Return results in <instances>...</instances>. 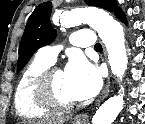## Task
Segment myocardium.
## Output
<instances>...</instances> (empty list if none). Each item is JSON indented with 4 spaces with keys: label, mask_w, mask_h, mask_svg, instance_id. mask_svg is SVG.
I'll list each match as a JSON object with an SVG mask.
<instances>
[{
    "label": "myocardium",
    "mask_w": 145,
    "mask_h": 124,
    "mask_svg": "<svg viewBox=\"0 0 145 124\" xmlns=\"http://www.w3.org/2000/svg\"><path fill=\"white\" fill-rule=\"evenodd\" d=\"M57 70L60 69L50 66L39 75L35 84L34 95L40 106L54 112H65L73 109L77 102H65L57 97L53 86V75Z\"/></svg>",
    "instance_id": "obj_1"
}]
</instances>
